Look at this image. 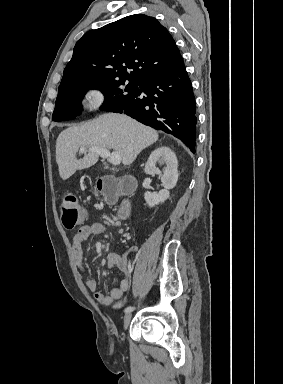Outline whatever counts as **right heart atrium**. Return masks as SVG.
I'll use <instances>...</instances> for the list:
<instances>
[{
    "instance_id": "d8ad5b80",
    "label": "right heart atrium",
    "mask_w": 283,
    "mask_h": 384,
    "mask_svg": "<svg viewBox=\"0 0 283 384\" xmlns=\"http://www.w3.org/2000/svg\"><path fill=\"white\" fill-rule=\"evenodd\" d=\"M106 90L103 86L92 83L81 90V104L86 112H92L99 109L106 100Z\"/></svg>"
}]
</instances>
